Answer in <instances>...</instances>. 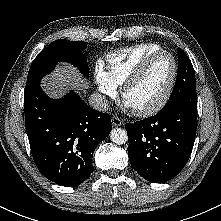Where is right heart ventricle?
I'll use <instances>...</instances> for the list:
<instances>
[{"instance_id": "obj_1", "label": "right heart ventricle", "mask_w": 221, "mask_h": 221, "mask_svg": "<svg viewBox=\"0 0 221 221\" xmlns=\"http://www.w3.org/2000/svg\"><path fill=\"white\" fill-rule=\"evenodd\" d=\"M160 50L157 44L141 43L109 53L105 57L106 71L116 86L121 85L145 57Z\"/></svg>"}]
</instances>
